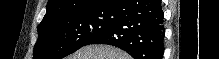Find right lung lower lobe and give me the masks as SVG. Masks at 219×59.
Instances as JSON below:
<instances>
[{
    "mask_svg": "<svg viewBox=\"0 0 219 59\" xmlns=\"http://www.w3.org/2000/svg\"><path fill=\"white\" fill-rule=\"evenodd\" d=\"M113 12L112 24L87 45H113L134 59H162L164 13L161 0H118Z\"/></svg>",
    "mask_w": 219,
    "mask_h": 59,
    "instance_id": "98d812e1",
    "label": "right lung lower lobe"
}]
</instances>
